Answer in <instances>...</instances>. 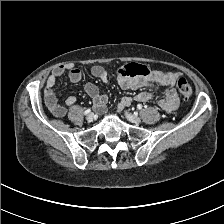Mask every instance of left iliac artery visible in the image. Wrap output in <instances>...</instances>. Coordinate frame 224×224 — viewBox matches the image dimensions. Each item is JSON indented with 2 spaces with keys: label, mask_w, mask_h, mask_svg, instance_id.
Segmentation results:
<instances>
[{
  "label": "left iliac artery",
  "mask_w": 224,
  "mask_h": 224,
  "mask_svg": "<svg viewBox=\"0 0 224 224\" xmlns=\"http://www.w3.org/2000/svg\"><path fill=\"white\" fill-rule=\"evenodd\" d=\"M137 108L140 110V109H142V105L141 104H138L137 105Z\"/></svg>",
  "instance_id": "1"
}]
</instances>
